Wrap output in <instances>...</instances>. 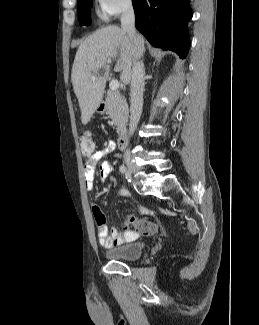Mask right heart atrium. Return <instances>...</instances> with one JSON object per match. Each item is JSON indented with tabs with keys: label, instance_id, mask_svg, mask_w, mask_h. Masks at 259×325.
<instances>
[{
	"label": "right heart atrium",
	"instance_id": "1",
	"mask_svg": "<svg viewBox=\"0 0 259 325\" xmlns=\"http://www.w3.org/2000/svg\"><path fill=\"white\" fill-rule=\"evenodd\" d=\"M131 0H96L99 14L108 19L113 18L131 6Z\"/></svg>",
	"mask_w": 259,
	"mask_h": 325
}]
</instances>
